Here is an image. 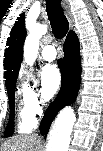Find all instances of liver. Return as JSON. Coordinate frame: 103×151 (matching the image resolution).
<instances>
[{"label":"liver","instance_id":"obj_1","mask_svg":"<svg viewBox=\"0 0 103 151\" xmlns=\"http://www.w3.org/2000/svg\"><path fill=\"white\" fill-rule=\"evenodd\" d=\"M40 141L37 136L18 135L0 146V151H39Z\"/></svg>","mask_w":103,"mask_h":151}]
</instances>
